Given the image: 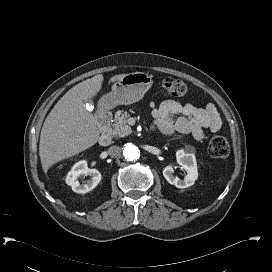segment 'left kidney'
Wrapping results in <instances>:
<instances>
[{
	"mask_svg": "<svg viewBox=\"0 0 272 272\" xmlns=\"http://www.w3.org/2000/svg\"><path fill=\"white\" fill-rule=\"evenodd\" d=\"M193 150L194 149L190 147L176 152L177 164L187 172L183 180L174 176L173 164H169L163 169L164 178L177 188H188L192 186L198 178L197 163Z\"/></svg>",
	"mask_w": 272,
	"mask_h": 272,
	"instance_id": "5707ae66",
	"label": "left kidney"
}]
</instances>
